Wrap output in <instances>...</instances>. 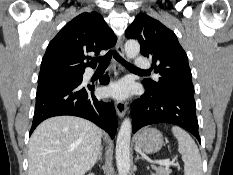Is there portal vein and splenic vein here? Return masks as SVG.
<instances>
[{
    "mask_svg": "<svg viewBox=\"0 0 233 175\" xmlns=\"http://www.w3.org/2000/svg\"><path fill=\"white\" fill-rule=\"evenodd\" d=\"M156 164L162 165V166H169L172 164L170 159H165V160H156L154 161Z\"/></svg>",
    "mask_w": 233,
    "mask_h": 175,
    "instance_id": "18ae733b",
    "label": "portal vein and splenic vein"
}]
</instances>
